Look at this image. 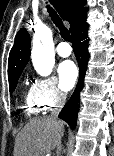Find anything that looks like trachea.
<instances>
[{
  "mask_svg": "<svg viewBox=\"0 0 114 156\" xmlns=\"http://www.w3.org/2000/svg\"><path fill=\"white\" fill-rule=\"evenodd\" d=\"M48 12L54 24L59 28L62 38L65 39L66 41L72 42L71 35L68 29L65 28V26L62 23V20L57 15V13L49 6H48Z\"/></svg>",
  "mask_w": 114,
  "mask_h": 156,
  "instance_id": "1",
  "label": "trachea"
}]
</instances>
